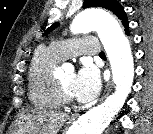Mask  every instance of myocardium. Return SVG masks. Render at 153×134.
Masks as SVG:
<instances>
[{"label":"myocardium","instance_id":"obj_1","mask_svg":"<svg viewBox=\"0 0 153 134\" xmlns=\"http://www.w3.org/2000/svg\"><path fill=\"white\" fill-rule=\"evenodd\" d=\"M56 87L63 102L70 103L73 101V97L64 89L63 85L58 79H56Z\"/></svg>","mask_w":153,"mask_h":134}]
</instances>
